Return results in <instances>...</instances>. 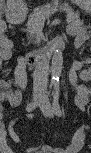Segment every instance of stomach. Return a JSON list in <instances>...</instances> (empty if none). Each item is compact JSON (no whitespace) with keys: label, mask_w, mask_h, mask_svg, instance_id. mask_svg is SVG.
Returning <instances> with one entry per match:
<instances>
[{"label":"stomach","mask_w":91,"mask_h":153,"mask_svg":"<svg viewBox=\"0 0 91 153\" xmlns=\"http://www.w3.org/2000/svg\"><path fill=\"white\" fill-rule=\"evenodd\" d=\"M78 4H81L83 6H86V5H89L90 4V1H85V0H78L76 1Z\"/></svg>","instance_id":"1"}]
</instances>
